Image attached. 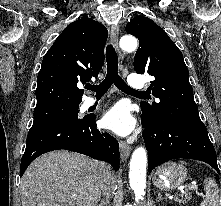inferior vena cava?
Returning <instances> with one entry per match:
<instances>
[{
    "label": "inferior vena cava",
    "instance_id": "obj_1",
    "mask_svg": "<svg viewBox=\"0 0 221 206\" xmlns=\"http://www.w3.org/2000/svg\"><path fill=\"white\" fill-rule=\"evenodd\" d=\"M115 186H116L115 174L111 170V167L105 165V173L101 186L102 194L107 199H109L115 190Z\"/></svg>",
    "mask_w": 221,
    "mask_h": 206
}]
</instances>
